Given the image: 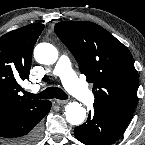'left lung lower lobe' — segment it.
Wrapping results in <instances>:
<instances>
[{
  "label": "left lung lower lobe",
  "mask_w": 145,
  "mask_h": 145,
  "mask_svg": "<svg viewBox=\"0 0 145 145\" xmlns=\"http://www.w3.org/2000/svg\"><path fill=\"white\" fill-rule=\"evenodd\" d=\"M127 124L100 113L89 112L88 120L75 128V137L85 145H110L125 131Z\"/></svg>",
  "instance_id": "1"
}]
</instances>
